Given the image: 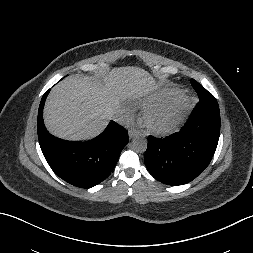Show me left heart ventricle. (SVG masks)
Returning a JSON list of instances; mask_svg holds the SVG:
<instances>
[{"mask_svg":"<svg viewBox=\"0 0 253 253\" xmlns=\"http://www.w3.org/2000/svg\"><path fill=\"white\" fill-rule=\"evenodd\" d=\"M172 119V115L170 112H161L156 114L152 118V123L157 126H165L167 125Z\"/></svg>","mask_w":253,"mask_h":253,"instance_id":"1","label":"left heart ventricle"}]
</instances>
